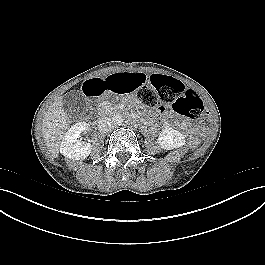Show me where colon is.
Listing matches in <instances>:
<instances>
[{
	"mask_svg": "<svg viewBox=\"0 0 265 265\" xmlns=\"http://www.w3.org/2000/svg\"><path fill=\"white\" fill-rule=\"evenodd\" d=\"M149 85L142 86L137 92L139 102L147 108L146 116L156 119L155 111L171 106L178 114L199 120L203 125L209 124L200 96L183 83L155 72L149 76Z\"/></svg>",
	"mask_w": 265,
	"mask_h": 265,
	"instance_id": "obj_1",
	"label": "colon"
}]
</instances>
